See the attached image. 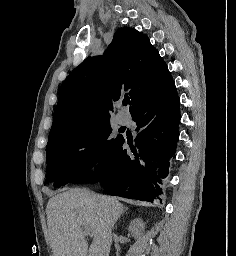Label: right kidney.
Returning a JSON list of instances; mask_svg holds the SVG:
<instances>
[{"label": "right kidney", "instance_id": "obj_1", "mask_svg": "<svg viewBox=\"0 0 236 256\" xmlns=\"http://www.w3.org/2000/svg\"><path fill=\"white\" fill-rule=\"evenodd\" d=\"M128 230L135 240H138L140 236H143L145 228L141 218H135V220H132Z\"/></svg>", "mask_w": 236, "mask_h": 256}]
</instances>
